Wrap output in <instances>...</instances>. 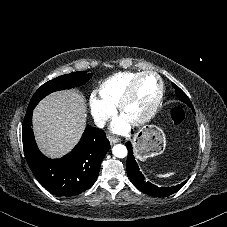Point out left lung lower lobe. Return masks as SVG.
<instances>
[{
	"label": "left lung lower lobe",
	"mask_w": 227,
	"mask_h": 227,
	"mask_svg": "<svg viewBox=\"0 0 227 227\" xmlns=\"http://www.w3.org/2000/svg\"><path fill=\"white\" fill-rule=\"evenodd\" d=\"M192 110L194 111V109ZM126 146L128 148V158L126 162L127 173L131 182L137 189L151 196L166 197L177 192L186 183V181H184L181 184L171 187H158L150 183L145 179L144 175L139 170V167L133 155L131 143L127 142Z\"/></svg>",
	"instance_id": "1"
}]
</instances>
